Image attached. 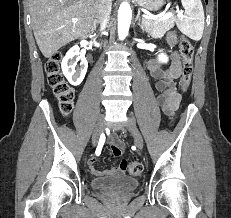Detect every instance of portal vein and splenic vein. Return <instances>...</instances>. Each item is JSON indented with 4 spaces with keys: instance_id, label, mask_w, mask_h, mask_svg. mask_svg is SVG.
<instances>
[{
    "instance_id": "18ae733b",
    "label": "portal vein and splenic vein",
    "mask_w": 231,
    "mask_h": 218,
    "mask_svg": "<svg viewBox=\"0 0 231 218\" xmlns=\"http://www.w3.org/2000/svg\"><path fill=\"white\" fill-rule=\"evenodd\" d=\"M178 14H181V11H177ZM173 16L172 12H167L165 14L162 15H158V16H153V15H143V18H150V19H168L171 18ZM78 21L77 18H73L72 22L76 23Z\"/></svg>"
}]
</instances>
